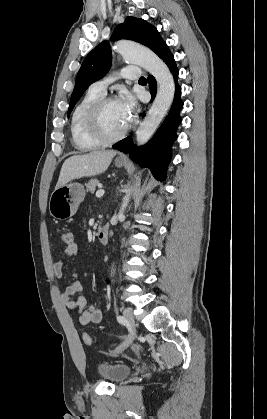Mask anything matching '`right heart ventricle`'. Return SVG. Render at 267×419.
<instances>
[{
    "mask_svg": "<svg viewBox=\"0 0 267 419\" xmlns=\"http://www.w3.org/2000/svg\"><path fill=\"white\" fill-rule=\"evenodd\" d=\"M104 94L94 89H89L75 106L70 122L71 138L74 147L80 152L98 149L102 144L95 140L86 127V116L94 102Z\"/></svg>",
    "mask_w": 267,
    "mask_h": 419,
    "instance_id": "right-heart-ventricle-1",
    "label": "right heart ventricle"
}]
</instances>
